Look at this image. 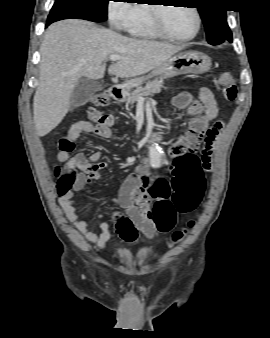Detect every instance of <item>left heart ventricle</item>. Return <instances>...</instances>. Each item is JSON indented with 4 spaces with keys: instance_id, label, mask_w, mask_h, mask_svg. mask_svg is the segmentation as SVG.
<instances>
[{
    "instance_id": "obj_1",
    "label": "left heart ventricle",
    "mask_w": 270,
    "mask_h": 338,
    "mask_svg": "<svg viewBox=\"0 0 270 338\" xmlns=\"http://www.w3.org/2000/svg\"><path fill=\"white\" fill-rule=\"evenodd\" d=\"M162 15L165 28L174 36L187 37L196 29V16L188 7L171 6Z\"/></svg>"
}]
</instances>
